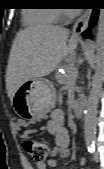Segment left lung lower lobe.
Listing matches in <instances>:
<instances>
[{
    "mask_svg": "<svg viewBox=\"0 0 104 169\" xmlns=\"http://www.w3.org/2000/svg\"><path fill=\"white\" fill-rule=\"evenodd\" d=\"M97 17H98V9H94L92 17H91V20H90V25L91 26L95 25Z\"/></svg>",
    "mask_w": 104,
    "mask_h": 169,
    "instance_id": "0a47b994",
    "label": "left lung lower lobe"
}]
</instances>
